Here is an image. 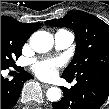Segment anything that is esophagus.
<instances>
[{"label":"esophagus","mask_w":109,"mask_h":109,"mask_svg":"<svg viewBox=\"0 0 109 109\" xmlns=\"http://www.w3.org/2000/svg\"><path fill=\"white\" fill-rule=\"evenodd\" d=\"M42 86H43L44 88H49V87H50V85H48V84H42Z\"/></svg>","instance_id":"esophagus-1"}]
</instances>
